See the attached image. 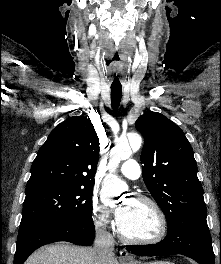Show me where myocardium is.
I'll use <instances>...</instances> for the list:
<instances>
[{
  "mask_svg": "<svg viewBox=\"0 0 221 264\" xmlns=\"http://www.w3.org/2000/svg\"><path fill=\"white\" fill-rule=\"evenodd\" d=\"M134 200L141 202V203H145L153 209V211L155 212L158 218V222H159L158 232L155 236L151 238H147V239L131 238L123 232V230L121 229V226L119 225L118 233H119L120 238L126 243L135 244V245H153V244L159 243L165 238L167 234V230H168L167 217L163 209L154 199L144 196V195H140L136 197Z\"/></svg>",
  "mask_w": 221,
  "mask_h": 264,
  "instance_id": "1",
  "label": "myocardium"
}]
</instances>
